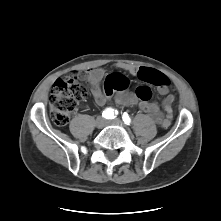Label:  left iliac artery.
<instances>
[{"label": "left iliac artery", "mask_w": 221, "mask_h": 221, "mask_svg": "<svg viewBox=\"0 0 221 221\" xmlns=\"http://www.w3.org/2000/svg\"><path fill=\"white\" fill-rule=\"evenodd\" d=\"M122 119H123L124 123L127 124V125H129L130 122H131V119H130V117L128 116L127 113L123 114Z\"/></svg>", "instance_id": "left-iliac-artery-1"}]
</instances>
